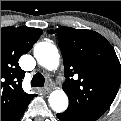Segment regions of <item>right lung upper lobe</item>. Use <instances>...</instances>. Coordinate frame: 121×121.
Masks as SVG:
<instances>
[{
	"mask_svg": "<svg viewBox=\"0 0 121 121\" xmlns=\"http://www.w3.org/2000/svg\"><path fill=\"white\" fill-rule=\"evenodd\" d=\"M41 34L42 30L38 28H1V121H9L36 96L23 91L25 71L18 60Z\"/></svg>",
	"mask_w": 121,
	"mask_h": 121,
	"instance_id": "right-lung-upper-lobe-1",
	"label": "right lung upper lobe"
}]
</instances>
